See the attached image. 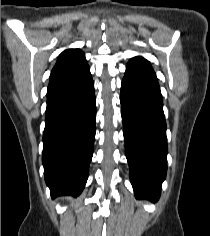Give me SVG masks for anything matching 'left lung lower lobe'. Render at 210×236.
<instances>
[{
    "mask_svg": "<svg viewBox=\"0 0 210 236\" xmlns=\"http://www.w3.org/2000/svg\"><path fill=\"white\" fill-rule=\"evenodd\" d=\"M120 102L135 195L156 201L167 171V140L162 95L149 62H128Z\"/></svg>",
    "mask_w": 210,
    "mask_h": 236,
    "instance_id": "0a47b994",
    "label": "left lung lower lobe"
}]
</instances>
